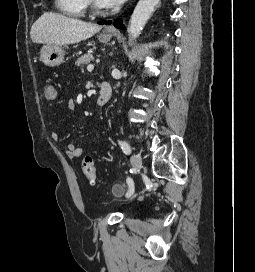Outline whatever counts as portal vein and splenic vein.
I'll use <instances>...</instances> for the list:
<instances>
[{"label": "portal vein and splenic vein", "mask_w": 255, "mask_h": 272, "mask_svg": "<svg viewBox=\"0 0 255 272\" xmlns=\"http://www.w3.org/2000/svg\"><path fill=\"white\" fill-rule=\"evenodd\" d=\"M93 69H94V66H93V65L90 64V65L87 66V70H88V71H92Z\"/></svg>", "instance_id": "obj_1"}]
</instances>
